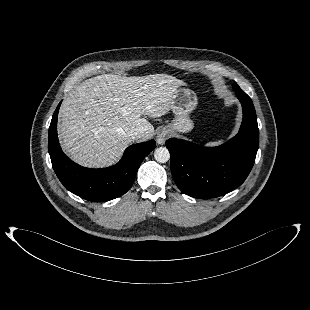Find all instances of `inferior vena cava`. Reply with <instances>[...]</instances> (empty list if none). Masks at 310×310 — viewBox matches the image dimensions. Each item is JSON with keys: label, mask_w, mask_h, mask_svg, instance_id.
<instances>
[{"label": "inferior vena cava", "mask_w": 310, "mask_h": 310, "mask_svg": "<svg viewBox=\"0 0 310 310\" xmlns=\"http://www.w3.org/2000/svg\"><path fill=\"white\" fill-rule=\"evenodd\" d=\"M143 136L142 131L140 130H132L129 132V137L132 141H138Z\"/></svg>", "instance_id": "inferior-vena-cava-1"}]
</instances>
